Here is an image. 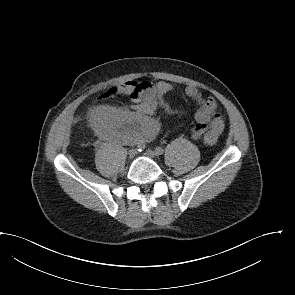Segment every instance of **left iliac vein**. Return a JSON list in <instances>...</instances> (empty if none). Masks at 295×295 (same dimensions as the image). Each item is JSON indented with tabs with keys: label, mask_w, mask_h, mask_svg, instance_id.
<instances>
[{
	"label": "left iliac vein",
	"mask_w": 295,
	"mask_h": 295,
	"mask_svg": "<svg viewBox=\"0 0 295 295\" xmlns=\"http://www.w3.org/2000/svg\"><path fill=\"white\" fill-rule=\"evenodd\" d=\"M145 155H146L147 157L153 159V158L156 157L157 154H156L155 151H153V150H151V149H148V150H146Z\"/></svg>",
	"instance_id": "4c4485c4"
}]
</instances>
